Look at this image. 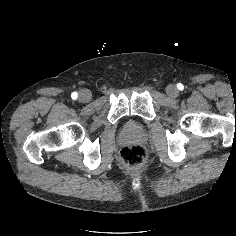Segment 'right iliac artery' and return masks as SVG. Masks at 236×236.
Wrapping results in <instances>:
<instances>
[{"mask_svg":"<svg viewBox=\"0 0 236 236\" xmlns=\"http://www.w3.org/2000/svg\"><path fill=\"white\" fill-rule=\"evenodd\" d=\"M71 97H72V99H77V97H78L77 92H73V93L71 94Z\"/></svg>","mask_w":236,"mask_h":236,"instance_id":"82829eb1","label":"right iliac artery"}]
</instances>
